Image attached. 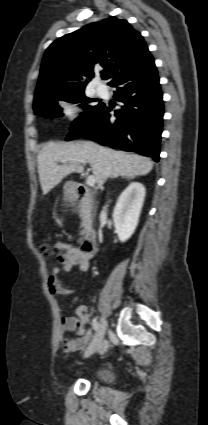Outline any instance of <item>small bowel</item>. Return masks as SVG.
<instances>
[{
    "label": "small bowel",
    "instance_id": "obj_1",
    "mask_svg": "<svg viewBox=\"0 0 208 425\" xmlns=\"http://www.w3.org/2000/svg\"><path fill=\"white\" fill-rule=\"evenodd\" d=\"M55 249L61 253L58 256L57 265L50 274L48 289L53 295L68 296L73 291L59 281L60 273H69L74 267H78L80 272L88 271L92 255L85 253L79 247L64 242L56 243ZM89 322L90 314L85 305L77 307L76 316L61 318V330L63 332L73 331L76 335L75 338L62 342V348L65 353L81 351L87 346L92 337L91 330L86 328Z\"/></svg>",
    "mask_w": 208,
    "mask_h": 425
}]
</instances>
